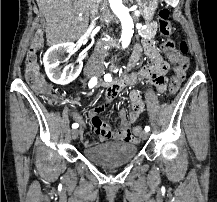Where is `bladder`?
I'll list each match as a JSON object with an SVG mask.
<instances>
[{
    "label": "bladder",
    "mask_w": 217,
    "mask_h": 202,
    "mask_svg": "<svg viewBox=\"0 0 217 202\" xmlns=\"http://www.w3.org/2000/svg\"><path fill=\"white\" fill-rule=\"evenodd\" d=\"M86 158L103 166H115L130 162L138 150L133 143H106L84 148Z\"/></svg>",
    "instance_id": "1"
}]
</instances>
